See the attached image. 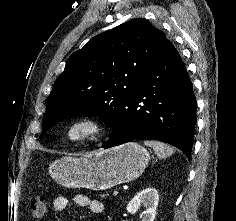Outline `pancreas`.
Returning <instances> with one entry per match:
<instances>
[{"mask_svg": "<svg viewBox=\"0 0 236 221\" xmlns=\"http://www.w3.org/2000/svg\"><path fill=\"white\" fill-rule=\"evenodd\" d=\"M101 199L106 198V194H100Z\"/></svg>", "mask_w": 236, "mask_h": 221, "instance_id": "obj_1", "label": "pancreas"}]
</instances>
